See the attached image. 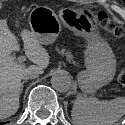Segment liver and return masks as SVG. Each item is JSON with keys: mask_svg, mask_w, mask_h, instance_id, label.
I'll use <instances>...</instances> for the list:
<instances>
[{"mask_svg": "<svg viewBox=\"0 0 125 125\" xmlns=\"http://www.w3.org/2000/svg\"><path fill=\"white\" fill-rule=\"evenodd\" d=\"M25 54L35 65L19 64L11 53L19 50L16 36L6 20H0V119L14 115L19 108L21 79L30 71L43 73L49 64V54L27 29L21 31Z\"/></svg>", "mask_w": 125, "mask_h": 125, "instance_id": "liver-1", "label": "liver"}]
</instances>
